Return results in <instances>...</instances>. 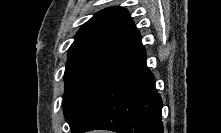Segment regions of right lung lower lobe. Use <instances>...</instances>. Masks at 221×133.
I'll return each mask as SVG.
<instances>
[{"mask_svg":"<svg viewBox=\"0 0 221 133\" xmlns=\"http://www.w3.org/2000/svg\"><path fill=\"white\" fill-rule=\"evenodd\" d=\"M162 100L146 65V53L103 72L72 123V133L95 129L118 133H163Z\"/></svg>","mask_w":221,"mask_h":133,"instance_id":"obj_1","label":"right lung lower lobe"}]
</instances>
